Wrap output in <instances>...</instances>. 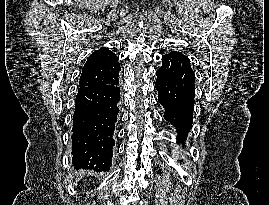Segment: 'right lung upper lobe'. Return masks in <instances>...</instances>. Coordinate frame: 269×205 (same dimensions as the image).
I'll list each match as a JSON object with an SVG mask.
<instances>
[{"instance_id":"cb5924a9","label":"right lung upper lobe","mask_w":269,"mask_h":205,"mask_svg":"<svg viewBox=\"0 0 269 205\" xmlns=\"http://www.w3.org/2000/svg\"><path fill=\"white\" fill-rule=\"evenodd\" d=\"M120 65L117 56L108 48L94 51L83 67L80 87H97L112 84L119 79Z\"/></svg>"}]
</instances>
